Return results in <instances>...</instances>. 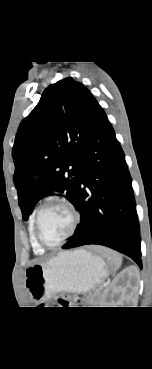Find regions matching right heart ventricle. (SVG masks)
Returning <instances> with one entry per match:
<instances>
[{"label": "right heart ventricle", "instance_id": "obj_1", "mask_svg": "<svg viewBox=\"0 0 152 369\" xmlns=\"http://www.w3.org/2000/svg\"><path fill=\"white\" fill-rule=\"evenodd\" d=\"M29 233H30V241L32 244V247L34 249L35 252L37 253H43L44 252V248H42L36 241L35 236H34V229H33V217L30 219L29 222Z\"/></svg>", "mask_w": 152, "mask_h": 369}]
</instances>
